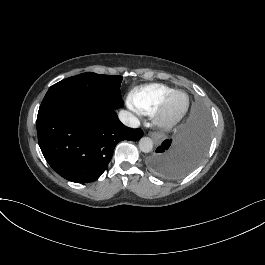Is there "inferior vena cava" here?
<instances>
[{
    "instance_id": "1",
    "label": "inferior vena cava",
    "mask_w": 265,
    "mask_h": 265,
    "mask_svg": "<svg viewBox=\"0 0 265 265\" xmlns=\"http://www.w3.org/2000/svg\"><path fill=\"white\" fill-rule=\"evenodd\" d=\"M119 120L121 121L122 124H124L127 127L134 129L140 127L139 120L128 111H121L119 113Z\"/></svg>"
}]
</instances>
